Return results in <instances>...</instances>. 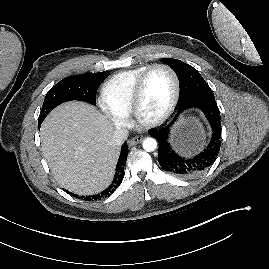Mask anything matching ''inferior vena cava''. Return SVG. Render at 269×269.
Returning <instances> with one entry per match:
<instances>
[{"label": "inferior vena cava", "instance_id": "602c4592", "mask_svg": "<svg viewBox=\"0 0 269 269\" xmlns=\"http://www.w3.org/2000/svg\"><path fill=\"white\" fill-rule=\"evenodd\" d=\"M128 135L129 131L126 128H118L113 132L110 143L119 146L127 140Z\"/></svg>", "mask_w": 269, "mask_h": 269}]
</instances>
